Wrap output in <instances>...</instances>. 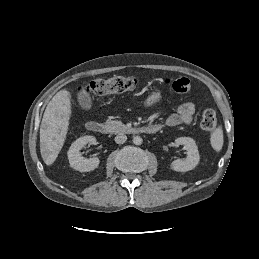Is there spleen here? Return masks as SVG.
<instances>
[{"mask_svg": "<svg viewBox=\"0 0 259 259\" xmlns=\"http://www.w3.org/2000/svg\"><path fill=\"white\" fill-rule=\"evenodd\" d=\"M223 141V130L221 127H218L211 133L210 143L212 148L219 152L222 149Z\"/></svg>", "mask_w": 259, "mask_h": 259, "instance_id": "1", "label": "spleen"}]
</instances>
